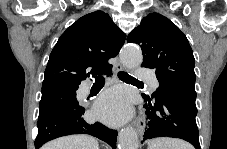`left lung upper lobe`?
<instances>
[{"label": "left lung upper lobe", "instance_id": "1", "mask_svg": "<svg viewBox=\"0 0 227 149\" xmlns=\"http://www.w3.org/2000/svg\"><path fill=\"white\" fill-rule=\"evenodd\" d=\"M143 52L142 67L156 70L159 88L150 97L175 94L195 101V59L190 44L179 28L159 13L142 19L127 37Z\"/></svg>", "mask_w": 227, "mask_h": 149}]
</instances>
